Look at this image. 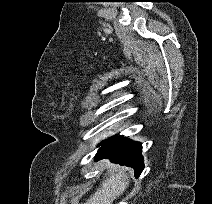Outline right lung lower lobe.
Segmentation results:
<instances>
[{
  "instance_id": "right-lung-lower-lobe-1",
  "label": "right lung lower lobe",
  "mask_w": 212,
  "mask_h": 204,
  "mask_svg": "<svg viewBox=\"0 0 212 204\" xmlns=\"http://www.w3.org/2000/svg\"><path fill=\"white\" fill-rule=\"evenodd\" d=\"M141 151V143L117 136L103 143L96 154V159L108 158L114 163L130 166L138 177L144 169Z\"/></svg>"
}]
</instances>
